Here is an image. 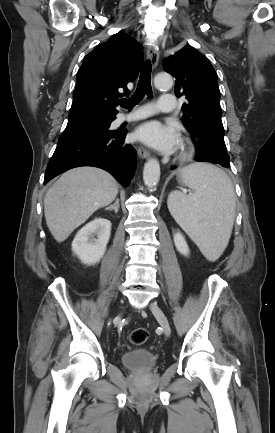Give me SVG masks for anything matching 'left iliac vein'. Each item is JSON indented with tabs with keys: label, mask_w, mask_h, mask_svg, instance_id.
<instances>
[{
	"label": "left iliac vein",
	"mask_w": 275,
	"mask_h": 433,
	"mask_svg": "<svg viewBox=\"0 0 275 433\" xmlns=\"http://www.w3.org/2000/svg\"><path fill=\"white\" fill-rule=\"evenodd\" d=\"M150 308H151L153 315L156 317L157 321L159 322L160 326L162 327L164 334L166 336H170L171 328H170L168 319L165 316L164 312L161 310V308L156 303H152L150 305Z\"/></svg>",
	"instance_id": "4c4485c4"
}]
</instances>
